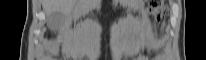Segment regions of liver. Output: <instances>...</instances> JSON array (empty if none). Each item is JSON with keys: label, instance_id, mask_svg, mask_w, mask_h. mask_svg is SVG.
Returning <instances> with one entry per match:
<instances>
[{"label": "liver", "instance_id": "1", "mask_svg": "<svg viewBox=\"0 0 206 60\" xmlns=\"http://www.w3.org/2000/svg\"><path fill=\"white\" fill-rule=\"evenodd\" d=\"M80 2L81 0H43L46 12L49 15L55 12L67 14Z\"/></svg>", "mask_w": 206, "mask_h": 60}]
</instances>
